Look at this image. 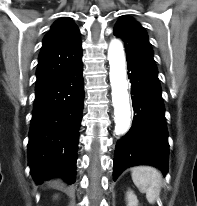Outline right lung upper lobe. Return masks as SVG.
Wrapping results in <instances>:
<instances>
[{"label":"right lung upper lobe","instance_id":"right-lung-upper-lobe-1","mask_svg":"<svg viewBox=\"0 0 197 206\" xmlns=\"http://www.w3.org/2000/svg\"><path fill=\"white\" fill-rule=\"evenodd\" d=\"M82 61L80 31L70 18L57 20L43 39L35 91L51 86Z\"/></svg>","mask_w":197,"mask_h":206}]
</instances>
